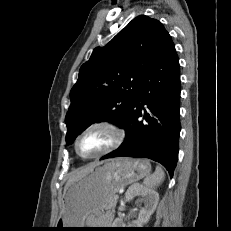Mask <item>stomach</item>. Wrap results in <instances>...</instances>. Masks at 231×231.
Wrapping results in <instances>:
<instances>
[{"label":"stomach","instance_id":"0dacf381","mask_svg":"<svg viewBox=\"0 0 231 231\" xmlns=\"http://www.w3.org/2000/svg\"><path fill=\"white\" fill-rule=\"evenodd\" d=\"M150 171L147 159L114 158L102 162L66 189L55 228H85L92 213L108 208L110 199L121 188L148 176Z\"/></svg>","mask_w":231,"mask_h":231}]
</instances>
